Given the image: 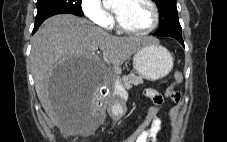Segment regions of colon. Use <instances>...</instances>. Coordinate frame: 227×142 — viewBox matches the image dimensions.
<instances>
[{
  "instance_id": "1",
  "label": "colon",
  "mask_w": 227,
  "mask_h": 142,
  "mask_svg": "<svg viewBox=\"0 0 227 142\" xmlns=\"http://www.w3.org/2000/svg\"><path fill=\"white\" fill-rule=\"evenodd\" d=\"M182 80V74L180 72H176L174 75V83H178ZM172 93V86L166 91V95H170ZM160 107L158 105H152L149 107L139 122V124L128 134H126L123 138L118 140L117 142H138L139 139L143 136V134L148 130L154 120L158 117V113L160 111Z\"/></svg>"
}]
</instances>
